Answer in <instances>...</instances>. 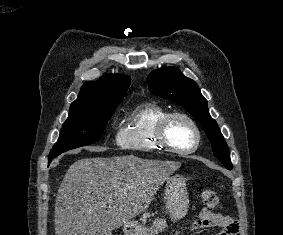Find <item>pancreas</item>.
<instances>
[{
    "instance_id": "1",
    "label": "pancreas",
    "mask_w": 283,
    "mask_h": 235,
    "mask_svg": "<svg viewBox=\"0 0 283 235\" xmlns=\"http://www.w3.org/2000/svg\"><path fill=\"white\" fill-rule=\"evenodd\" d=\"M151 216V214L150 213H144L143 215H142V217L140 218V221H142L143 223H145L146 222V220H147V218H149Z\"/></svg>"
}]
</instances>
